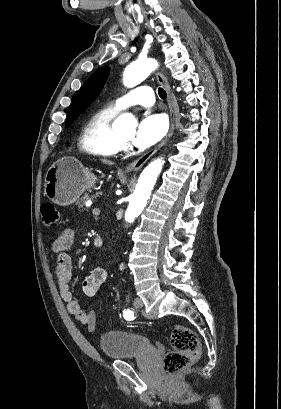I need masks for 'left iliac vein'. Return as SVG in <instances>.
<instances>
[{"mask_svg": "<svg viewBox=\"0 0 281 409\" xmlns=\"http://www.w3.org/2000/svg\"><path fill=\"white\" fill-rule=\"evenodd\" d=\"M134 307L137 308V309L143 307V301H142L141 298L136 297L134 299Z\"/></svg>", "mask_w": 281, "mask_h": 409, "instance_id": "obj_1", "label": "left iliac vein"}]
</instances>
